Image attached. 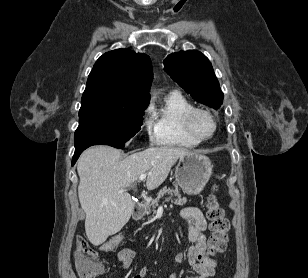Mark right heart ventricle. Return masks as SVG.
<instances>
[{"label": "right heart ventricle", "mask_w": 308, "mask_h": 278, "mask_svg": "<svg viewBox=\"0 0 308 278\" xmlns=\"http://www.w3.org/2000/svg\"><path fill=\"white\" fill-rule=\"evenodd\" d=\"M193 105L180 93H170L153 114L155 141L163 146L192 148L199 142L189 137L182 126L183 114Z\"/></svg>", "instance_id": "e07e8e85"}]
</instances>
